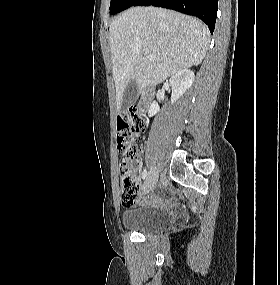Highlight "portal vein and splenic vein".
<instances>
[{
    "mask_svg": "<svg viewBox=\"0 0 280 285\" xmlns=\"http://www.w3.org/2000/svg\"><path fill=\"white\" fill-rule=\"evenodd\" d=\"M144 53L148 56L150 60H155V56L150 54L149 49H144Z\"/></svg>",
    "mask_w": 280,
    "mask_h": 285,
    "instance_id": "18ae733b",
    "label": "portal vein and splenic vein"
}]
</instances>
